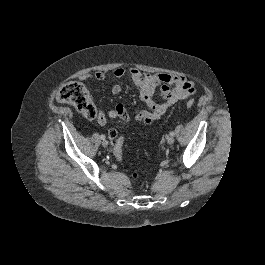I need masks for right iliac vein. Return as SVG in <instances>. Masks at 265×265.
<instances>
[{
	"label": "right iliac vein",
	"mask_w": 265,
	"mask_h": 265,
	"mask_svg": "<svg viewBox=\"0 0 265 265\" xmlns=\"http://www.w3.org/2000/svg\"><path fill=\"white\" fill-rule=\"evenodd\" d=\"M102 146H103L104 148H106V147L108 146V141L104 139V140L102 141Z\"/></svg>",
	"instance_id": "obj_1"
}]
</instances>
